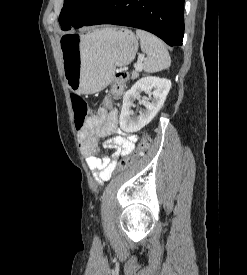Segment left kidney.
<instances>
[{
  "label": "left kidney",
  "instance_id": "left-kidney-1",
  "mask_svg": "<svg viewBox=\"0 0 247 275\" xmlns=\"http://www.w3.org/2000/svg\"><path fill=\"white\" fill-rule=\"evenodd\" d=\"M170 88L171 81L166 78L146 76L139 79L123 97L119 117L120 128L125 132H137L150 123L162 108ZM141 92L149 95V98L141 101L146 109L139 115H134L131 107H134L135 99H140Z\"/></svg>",
  "mask_w": 247,
  "mask_h": 275
}]
</instances>
